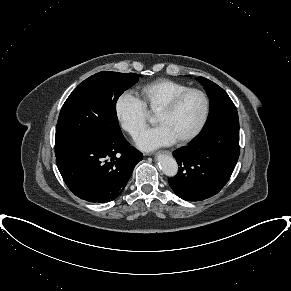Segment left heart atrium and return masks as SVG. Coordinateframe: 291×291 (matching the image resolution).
I'll return each mask as SVG.
<instances>
[{"label": "left heart atrium", "instance_id": "left-heart-atrium-1", "mask_svg": "<svg viewBox=\"0 0 291 291\" xmlns=\"http://www.w3.org/2000/svg\"><path fill=\"white\" fill-rule=\"evenodd\" d=\"M174 142L175 139L163 125L144 131L137 139L138 146L147 151L168 146Z\"/></svg>", "mask_w": 291, "mask_h": 291}]
</instances>
